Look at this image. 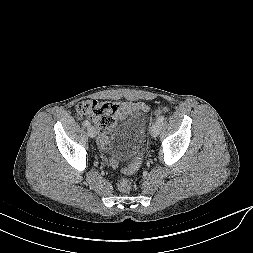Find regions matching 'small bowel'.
Masks as SVG:
<instances>
[{"label": "small bowel", "instance_id": "small-bowel-1", "mask_svg": "<svg viewBox=\"0 0 253 253\" xmlns=\"http://www.w3.org/2000/svg\"><path fill=\"white\" fill-rule=\"evenodd\" d=\"M119 108L130 112H138L141 114H148L150 111L148 105H146L143 102H124L119 105ZM163 110H164L163 108H160L157 110V112H162ZM101 143L104 146L108 145V139L106 136H102ZM117 163H118L117 160L113 157L111 159V165L115 167L117 166Z\"/></svg>", "mask_w": 253, "mask_h": 253}]
</instances>
